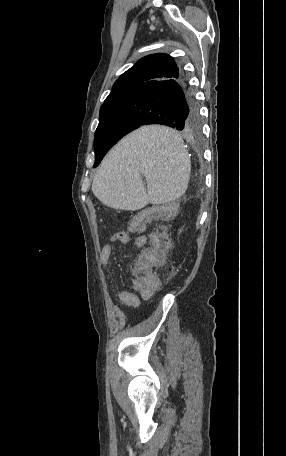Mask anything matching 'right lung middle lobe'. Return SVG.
I'll use <instances>...</instances> for the list:
<instances>
[{
  "label": "right lung middle lobe",
  "instance_id": "dd1d6c3e",
  "mask_svg": "<svg viewBox=\"0 0 286 456\" xmlns=\"http://www.w3.org/2000/svg\"><path fill=\"white\" fill-rule=\"evenodd\" d=\"M133 109L126 97L103 104L99 124L94 134L95 163L97 167L108 150L123 136L136 128Z\"/></svg>",
  "mask_w": 286,
  "mask_h": 456
}]
</instances>
